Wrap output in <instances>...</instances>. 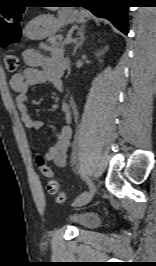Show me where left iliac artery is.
I'll return each mask as SVG.
<instances>
[{
  "mask_svg": "<svg viewBox=\"0 0 156 266\" xmlns=\"http://www.w3.org/2000/svg\"><path fill=\"white\" fill-rule=\"evenodd\" d=\"M79 173H81V171L79 170ZM82 176L84 177V179L87 181V185H88V188L91 189V190H94L95 189V186L94 185V182H90L86 176L84 174H82Z\"/></svg>",
  "mask_w": 156,
  "mask_h": 266,
  "instance_id": "left-iliac-artery-1",
  "label": "left iliac artery"
}]
</instances>
